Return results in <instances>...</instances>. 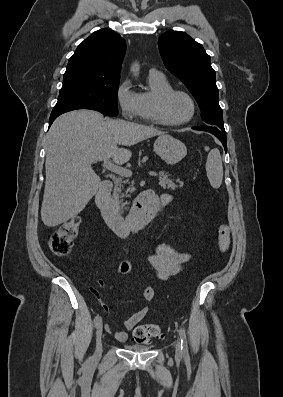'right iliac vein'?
<instances>
[{"label": "right iliac vein", "instance_id": "right-iliac-vein-1", "mask_svg": "<svg viewBox=\"0 0 283 397\" xmlns=\"http://www.w3.org/2000/svg\"><path fill=\"white\" fill-rule=\"evenodd\" d=\"M102 353V320L97 326L96 331V349H95V358H99Z\"/></svg>", "mask_w": 283, "mask_h": 397}]
</instances>
